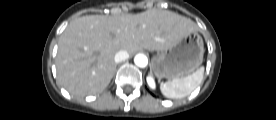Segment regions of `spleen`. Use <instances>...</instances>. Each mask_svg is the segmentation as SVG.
Masks as SVG:
<instances>
[{"instance_id": "spleen-1", "label": "spleen", "mask_w": 276, "mask_h": 120, "mask_svg": "<svg viewBox=\"0 0 276 120\" xmlns=\"http://www.w3.org/2000/svg\"><path fill=\"white\" fill-rule=\"evenodd\" d=\"M203 74L204 67H200L188 76L174 78L171 81L160 84V90L167 98L186 97L201 83Z\"/></svg>"}]
</instances>
